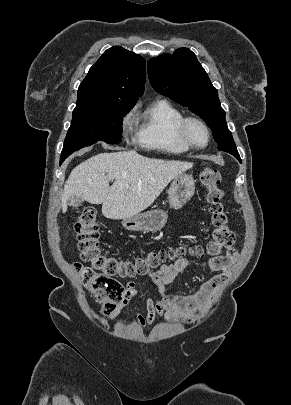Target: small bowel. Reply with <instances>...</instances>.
I'll use <instances>...</instances> for the list:
<instances>
[{
  "label": "small bowel",
  "mask_w": 291,
  "mask_h": 405,
  "mask_svg": "<svg viewBox=\"0 0 291 405\" xmlns=\"http://www.w3.org/2000/svg\"><path fill=\"white\" fill-rule=\"evenodd\" d=\"M237 259L238 252L233 248H228L224 256L214 257L202 263L203 269L215 271L217 274L191 295L177 294L170 289L173 280L186 270L189 258L181 257L174 263L165 264L158 271L148 274L155 288L154 298L142 296L137 290L136 282L129 281L125 287L124 297L117 310L111 314V318L114 319L131 299L142 297L146 314L138 313L135 316V321L141 329L153 325L160 317L168 322L181 320L186 324H193L201 320L212 306L218 292L229 278L232 265Z\"/></svg>",
  "instance_id": "c3829d8e"
}]
</instances>
